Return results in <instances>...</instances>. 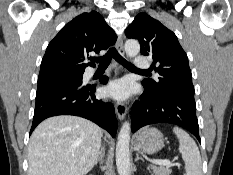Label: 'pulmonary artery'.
Returning <instances> with one entry per match:
<instances>
[{"label": "pulmonary artery", "instance_id": "1", "mask_svg": "<svg viewBox=\"0 0 233 175\" xmlns=\"http://www.w3.org/2000/svg\"><path fill=\"white\" fill-rule=\"evenodd\" d=\"M134 65L138 69H147L149 68L150 63L142 56H136L134 58Z\"/></svg>", "mask_w": 233, "mask_h": 175}]
</instances>
